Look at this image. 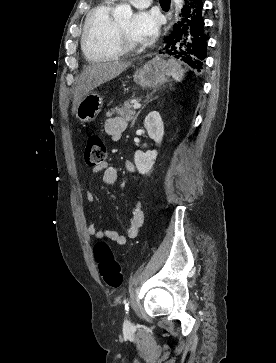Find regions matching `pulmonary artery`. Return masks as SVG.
Segmentation results:
<instances>
[{
    "mask_svg": "<svg viewBox=\"0 0 276 363\" xmlns=\"http://www.w3.org/2000/svg\"><path fill=\"white\" fill-rule=\"evenodd\" d=\"M130 3L136 8H147L152 0H129Z\"/></svg>",
    "mask_w": 276,
    "mask_h": 363,
    "instance_id": "pulmonary-artery-1",
    "label": "pulmonary artery"
}]
</instances>
